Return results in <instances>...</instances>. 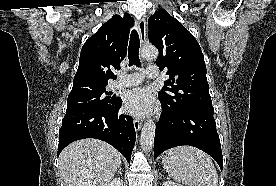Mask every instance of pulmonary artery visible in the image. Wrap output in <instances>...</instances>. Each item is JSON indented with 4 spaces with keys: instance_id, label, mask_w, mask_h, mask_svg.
<instances>
[{
    "instance_id": "pulmonary-artery-1",
    "label": "pulmonary artery",
    "mask_w": 276,
    "mask_h": 186,
    "mask_svg": "<svg viewBox=\"0 0 276 186\" xmlns=\"http://www.w3.org/2000/svg\"><path fill=\"white\" fill-rule=\"evenodd\" d=\"M160 72L157 66H148L144 73L122 74L119 79L113 83V88L131 87L139 85L144 77L149 79H155L159 77Z\"/></svg>"
}]
</instances>
